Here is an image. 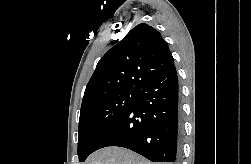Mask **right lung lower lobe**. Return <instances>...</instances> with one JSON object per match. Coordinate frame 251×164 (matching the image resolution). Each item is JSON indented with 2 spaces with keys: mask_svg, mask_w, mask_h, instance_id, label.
<instances>
[{
  "mask_svg": "<svg viewBox=\"0 0 251 164\" xmlns=\"http://www.w3.org/2000/svg\"><path fill=\"white\" fill-rule=\"evenodd\" d=\"M181 137L178 78L173 64L138 88L136 101L100 139L94 151L120 146L152 162H176Z\"/></svg>",
  "mask_w": 251,
  "mask_h": 164,
  "instance_id": "right-lung-lower-lobe-1",
  "label": "right lung lower lobe"
}]
</instances>
